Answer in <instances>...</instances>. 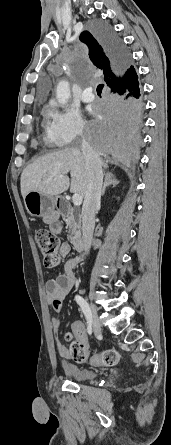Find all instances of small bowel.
I'll list each match as a JSON object with an SVG mask.
<instances>
[{
  "instance_id": "obj_1",
  "label": "small bowel",
  "mask_w": 171,
  "mask_h": 445,
  "mask_svg": "<svg viewBox=\"0 0 171 445\" xmlns=\"http://www.w3.org/2000/svg\"><path fill=\"white\" fill-rule=\"evenodd\" d=\"M50 230L51 232L58 234L61 232L62 226L59 222H52L50 224ZM70 251L71 247L67 242L62 243L59 246V253L61 257H66ZM81 260V256L67 260L64 265L63 272L55 279H51L46 283L47 301L53 306V309L57 314V316L51 320L56 336L60 326V314L63 310L62 303L76 283L75 267L81 262ZM71 328L75 337V342L82 343L87 347L88 337L84 325L77 321L72 324ZM57 350L60 356L63 358H72L70 349L62 343H57ZM63 365L65 368L70 366L68 363H64Z\"/></svg>"
}]
</instances>
